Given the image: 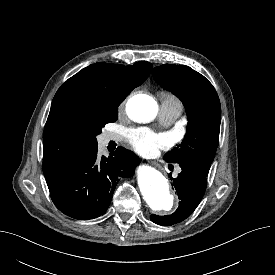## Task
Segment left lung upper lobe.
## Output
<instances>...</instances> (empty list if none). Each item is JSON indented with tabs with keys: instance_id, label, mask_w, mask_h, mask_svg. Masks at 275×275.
<instances>
[{
	"instance_id": "obj_1",
	"label": "left lung upper lobe",
	"mask_w": 275,
	"mask_h": 275,
	"mask_svg": "<svg viewBox=\"0 0 275 275\" xmlns=\"http://www.w3.org/2000/svg\"><path fill=\"white\" fill-rule=\"evenodd\" d=\"M154 80L180 98L188 117L182 143L164 158L169 163H201L210 167L219 141L221 106L216 90L200 73L188 66L161 65Z\"/></svg>"
}]
</instances>
